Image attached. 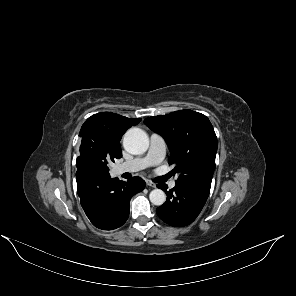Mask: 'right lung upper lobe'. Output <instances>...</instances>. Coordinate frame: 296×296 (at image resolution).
<instances>
[{
  "instance_id": "obj_1",
  "label": "right lung upper lobe",
  "mask_w": 296,
  "mask_h": 296,
  "mask_svg": "<svg viewBox=\"0 0 296 296\" xmlns=\"http://www.w3.org/2000/svg\"><path fill=\"white\" fill-rule=\"evenodd\" d=\"M140 121L139 118L130 119L110 112L98 113L85 121L80 130V136L82 142L104 145L120 158L122 155L119 141L122 135Z\"/></svg>"
}]
</instances>
